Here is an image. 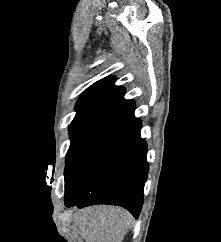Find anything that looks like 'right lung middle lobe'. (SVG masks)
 <instances>
[{"label":"right lung middle lobe","mask_w":221,"mask_h":242,"mask_svg":"<svg viewBox=\"0 0 221 242\" xmlns=\"http://www.w3.org/2000/svg\"><path fill=\"white\" fill-rule=\"evenodd\" d=\"M98 125L88 124V125H77L71 126L69 128L71 144L66 155V168L68 167L71 158L81 146V144L98 128Z\"/></svg>","instance_id":"right-lung-middle-lobe-1"}]
</instances>
